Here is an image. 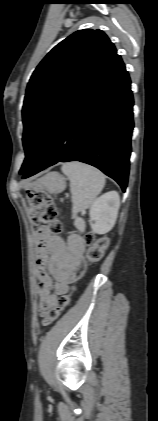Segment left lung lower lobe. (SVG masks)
Instances as JSON below:
<instances>
[{
	"instance_id": "obj_1",
	"label": "left lung lower lobe",
	"mask_w": 158,
	"mask_h": 421,
	"mask_svg": "<svg viewBox=\"0 0 158 421\" xmlns=\"http://www.w3.org/2000/svg\"><path fill=\"white\" fill-rule=\"evenodd\" d=\"M130 78L115 54L59 116L30 168L28 178L58 162L97 167L125 191L133 130Z\"/></svg>"
}]
</instances>
